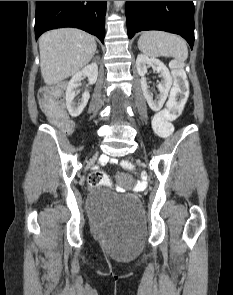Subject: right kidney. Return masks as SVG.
<instances>
[{
	"label": "right kidney",
	"mask_w": 233,
	"mask_h": 295,
	"mask_svg": "<svg viewBox=\"0 0 233 295\" xmlns=\"http://www.w3.org/2000/svg\"><path fill=\"white\" fill-rule=\"evenodd\" d=\"M82 76H86L89 84L93 85L98 76L97 64L93 62L85 66L81 71L76 72L67 84L65 93L66 107L72 117H78L82 113L90 98L89 92L85 91L82 94L80 102L77 103L74 101L76 89L78 88V82L81 80Z\"/></svg>",
	"instance_id": "obj_1"
}]
</instances>
